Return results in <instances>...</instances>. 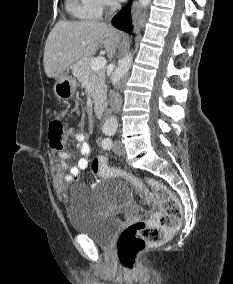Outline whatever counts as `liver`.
<instances>
[{
    "label": "liver",
    "instance_id": "liver-1",
    "mask_svg": "<svg viewBox=\"0 0 233 284\" xmlns=\"http://www.w3.org/2000/svg\"><path fill=\"white\" fill-rule=\"evenodd\" d=\"M121 41V33L96 21H58L44 50V70L49 78L64 72L80 59H86L103 45L111 58Z\"/></svg>",
    "mask_w": 233,
    "mask_h": 284
}]
</instances>
